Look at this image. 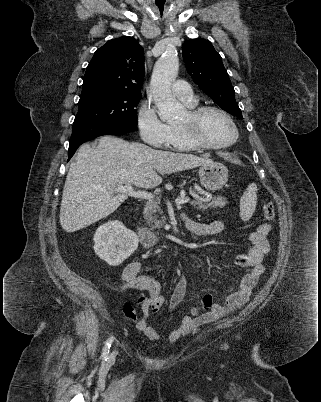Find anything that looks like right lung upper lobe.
<instances>
[{"mask_svg":"<svg viewBox=\"0 0 321 402\" xmlns=\"http://www.w3.org/2000/svg\"><path fill=\"white\" fill-rule=\"evenodd\" d=\"M143 64L144 50L133 37L112 39L96 50L82 87L141 95Z\"/></svg>","mask_w":321,"mask_h":402,"instance_id":"1","label":"right lung upper lobe"}]
</instances>
